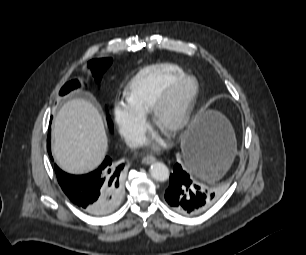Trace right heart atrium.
<instances>
[{
  "instance_id": "1",
  "label": "right heart atrium",
  "mask_w": 306,
  "mask_h": 255,
  "mask_svg": "<svg viewBox=\"0 0 306 255\" xmlns=\"http://www.w3.org/2000/svg\"><path fill=\"white\" fill-rule=\"evenodd\" d=\"M114 122L121 136L133 147L144 140L146 119L144 115L133 109L128 102L117 101L113 106Z\"/></svg>"
}]
</instances>
